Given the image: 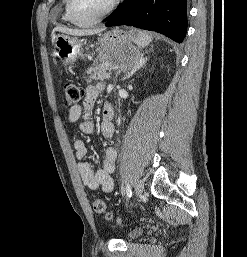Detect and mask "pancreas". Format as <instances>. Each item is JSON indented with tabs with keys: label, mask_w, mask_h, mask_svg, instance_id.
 Segmentation results:
<instances>
[{
	"label": "pancreas",
	"mask_w": 247,
	"mask_h": 257,
	"mask_svg": "<svg viewBox=\"0 0 247 257\" xmlns=\"http://www.w3.org/2000/svg\"><path fill=\"white\" fill-rule=\"evenodd\" d=\"M112 65L106 62H95L86 72L90 79L106 80L111 75Z\"/></svg>",
	"instance_id": "pancreas-1"
}]
</instances>
